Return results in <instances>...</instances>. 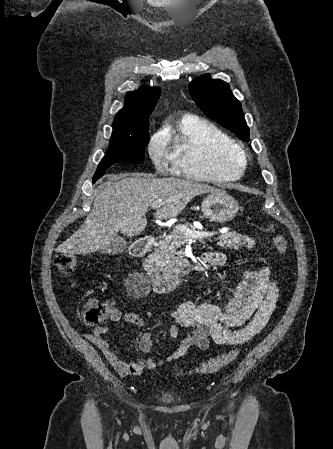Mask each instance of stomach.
I'll return each mask as SVG.
<instances>
[{"instance_id":"1","label":"stomach","mask_w":333,"mask_h":449,"mask_svg":"<svg viewBox=\"0 0 333 449\" xmlns=\"http://www.w3.org/2000/svg\"><path fill=\"white\" fill-rule=\"evenodd\" d=\"M203 216L212 222L226 223L233 220L239 210L238 202L226 194L218 191L208 195L202 202Z\"/></svg>"}]
</instances>
